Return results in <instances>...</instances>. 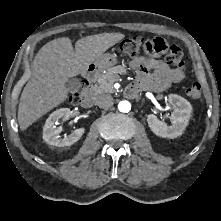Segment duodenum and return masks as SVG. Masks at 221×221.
Returning a JSON list of instances; mask_svg holds the SVG:
<instances>
[{
    "label": "duodenum",
    "instance_id": "obj_1",
    "mask_svg": "<svg viewBox=\"0 0 221 221\" xmlns=\"http://www.w3.org/2000/svg\"><path fill=\"white\" fill-rule=\"evenodd\" d=\"M98 69L95 65L91 64L83 77V85H82V92H81V102L84 106H90L92 103V94H91V83L95 78ZM136 90L132 87L127 88L126 94L128 96H134L136 94Z\"/></svg>",
    "mask_w": 221,
    "mask_h": 221
}]
</instances>
